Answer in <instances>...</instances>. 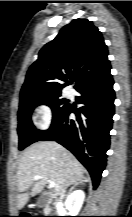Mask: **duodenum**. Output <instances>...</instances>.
Listing matches in <instances>:
<instances>
[{
    "mask_svg": "<svg viewBox=\"0 0 132 217\" xmlns=\"http://www.w3.org/2000/svg\"><path fill=\"white\" fill-rule=\"evenodd\" d=\"M43 195H45V193H43ZM50 213H55V209L52 208V209L50 210Z\"/></svg>",
    "mask_w": 132,
    "mask_h": 217,
    "instance_id": "410a0bca",
    "label": "duodenum"
}]
</instances>
